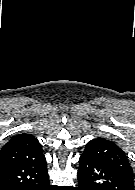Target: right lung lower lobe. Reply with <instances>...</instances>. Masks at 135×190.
I'll use <instances>...</instances> for the list:
<instances>
[{"label":"right lung lower lobe","instance_id":"obj_1","mask_svg":"<svg viewBox=\"0 0 135 190\" xmlns=\"http://www.w3.org/2000/svg\"><path fill=\"white\" fill-rule=\"evenodd\" d=\"M0 190H53L45 156L0 163Z\"/></svg>","mask_w":135,"mask_h":190}]
</instances>
